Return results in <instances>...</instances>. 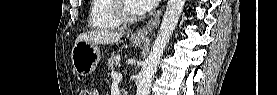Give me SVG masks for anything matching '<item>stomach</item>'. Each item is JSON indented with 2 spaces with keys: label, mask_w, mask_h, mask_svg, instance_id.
Listing matches in <instances>:
<instances>
[{
  "label": "stomach",
  "mask_w": 277,
  "mask_h": 95,
  "mask_svg": "<svg viewBox=\"0 0 277 95\" xmlns=\"http://www.w3.org/2000/svg\"><path fill=\"white\" fill-rule=\"evenodd\" d=\"M131 42L135 46L143 45L146 40L131 35ZM100 60V49L98 44L87 41L76 42L71 51V63L73 71L79 76L91 74Z\"/></svg>",
  "instance_id": "0dacf381"
}]
</instances>
